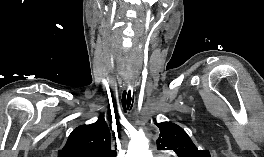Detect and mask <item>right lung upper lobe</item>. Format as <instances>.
Returning a JSON list of instances; mask_svg holds the SVG:
<instances>
[{
    "label": "right lung upper lobe",
    "mask_w": 264,
    "mask_h": 157,
    "mask_svg": "<svg viewBox=\"0 0 264 157\" xmlns=\"http://www.w3.org/2000/svg\"><path fill=\"white\" fill-rule=\"evenodd\" d=\"M58 157H116L111 135L103 116L90 125H81L70 134Z\"/></svg>",
    "instance_id": "right-lung-upper-lobe-1"
}]
</instances>
